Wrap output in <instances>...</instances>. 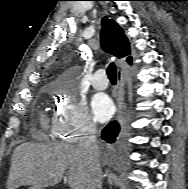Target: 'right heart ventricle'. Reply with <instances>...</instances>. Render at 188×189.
<instances>
[{
  "label": "right heart ventricle",
  "instance_id": "obj_1",
  "mask_svg": "<svg viewBox=\"0 0 188 189\" xmlns=\"http://www.w3.org/2000/svg\"><path fill=\"white\" fill-rule=\"evenodd\" d=\"M43 128H44L46 131H48V130L50 129L48 120H47L46 118L43 119ZM50 130H51L52 133H55L53 127H51Z\"/></svg>",
  "mask_w": 188,
  "mask_h": 189
}]
</instances>
